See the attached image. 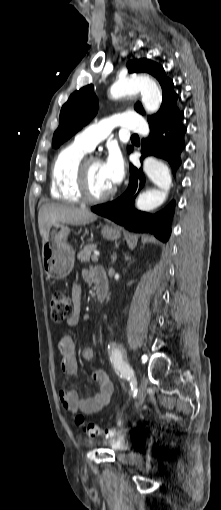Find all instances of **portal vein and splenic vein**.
<instances>
[{
    "label": "portal vein and splenic vein",
    "instance_id": "18ae733b",
    "mask_svg": "<svg viewBox=\"0 0 221 510\" xmlns=\"http://www.w3.org/2000/svg\"><path fill=\"white\" fill-rule=\"evenodd\" d=\"M98 257H99V253H95V254L92 256V258H91V259H92V261H93V262H98V259H99Z\"/></svg>",
    "mask_w": 221,
    "mask_h": 510
}]
</instances>
